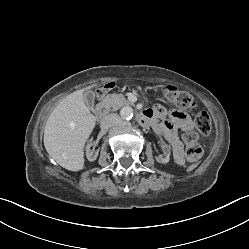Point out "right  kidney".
I'll return each instance as SVG.
<instances>
[{"label": "right kidney", "mask_w": 249, "mask_h": 249, "mask_svg": "<svg viewBox=\"0 0 249 249\" xmlns=\"http://www.w3.org/2000/svg\"><path fill=\"white\" fill-rule=\"evenodd\" d=\"M85 151L87 152V158L89 161H94L96 160L98 156V151H97V146L93 143H88L85 146Z\"/></svg>", "instance_id": "right-kidney-1"}]
</instances>
